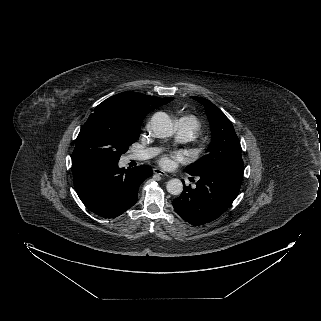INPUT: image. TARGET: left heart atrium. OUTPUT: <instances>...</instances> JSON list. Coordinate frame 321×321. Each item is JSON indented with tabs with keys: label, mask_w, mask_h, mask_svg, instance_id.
Listing matches in <instances>:
<instances>
[{
	"label": "left heart atrium",
	"mask_w": 321,
	"mask_h": 321,
	"mask_svg": "<svg viewBox=\"0 0 321 321\" xmlns=\"http://www.w3.org/2000/svg\"><path fill=\"white\" fill-rule=\"evenodd\" d=\"M181 157H182L181 153L173 154L171 156L165 155L161 159V164L165 167H169L172 164V158H181Z\"/></svg>",
	"instance_id": "1"
}]
</instances>
